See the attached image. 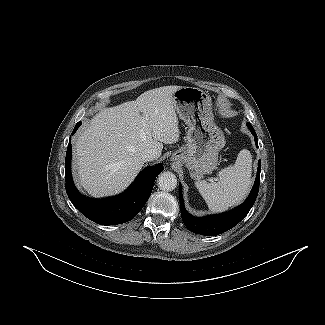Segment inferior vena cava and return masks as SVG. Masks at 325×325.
Returning <instances> with one entry per match:
<instances>
[{"label":"inferior vena cava","mask_w":325,"mask_h":325,"mask_svg":"<svg viewBox=\"0 0 325 325\" xmlns=\"http://www.w3.org/2000/svg\"><path fill=\"white\" fill-rule=\"evenodd\" d=\"M141 158L144 162L153 161L157 158V153L152 149H145L141 153Z\"/></svg>","instance_id":"1"}]
</instances>
